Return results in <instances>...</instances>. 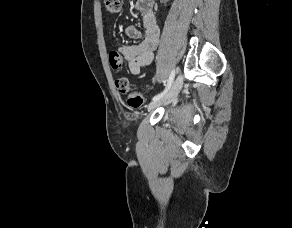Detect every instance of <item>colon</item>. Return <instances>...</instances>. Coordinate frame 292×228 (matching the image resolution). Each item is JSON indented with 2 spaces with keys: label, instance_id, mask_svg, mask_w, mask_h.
<instances>
[{
  "label": "colon",
  "instance_id": "colon-1",
  "mask_svg": "<svg viewBox=\"0 0 292 228\" xmlns=\"http://www.w3.org/2000/svg\"><path fill=\"white\" fill-rule=\"evenodd\" d=\"M105 11L108 15H115L120 11L121 0H104ZM110 66L113 70L118 71L122 66V61L119 55L112 51L109 55ZM116 87L121 94L126 95V103L130 108H140L144 103V98L141 93L131 91L129 83L125 78L116 80Z\"/></svg>",
  "mask_w": 292,
  "mask_h": 228
}]
</instances>
